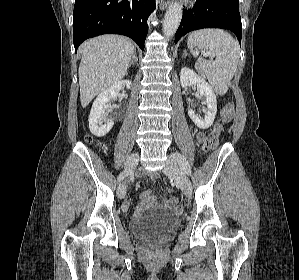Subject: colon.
Here are the masks:
<instances>
[{"mask_svg":"<svg viewBox=\"0 0 299 280\" xmlns=\"http://www.w3.org/2000/svg\"><path fill=\"white\" fill-rule=\"evenodd\" d=\"M232 111H233L232 104H228L225 106V108L221 113L220 120L215 124L213 130L206 136L203 142L204 151H209L217 145L219 136L223 129V124L230 120L232 116ZM173 212L176 215H180L183 212V207L180 204H177L174 206Z\"/></svg>","mask_w":299,"mask_h":280,"instance_id":"5ec220e1","label":"colon"}]
</instances>
